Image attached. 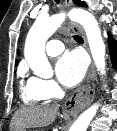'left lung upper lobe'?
<instances>
[{"label":"left lung upper lobe","instance_id":"1","mask_svg":"<svg viewBox=\"0 0 117 131\" xmlns=\"http://www.w3.org/2000/svg\"><path fill=\"white\" fill-rule=\"evenodd\" d=\"M73 2L79 6H83V7H86V4L85 2L81 1V0H73Z\"/></svg>","mask_w":117,"mask_h":131}]
</instances>
